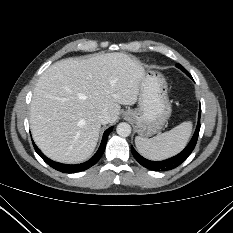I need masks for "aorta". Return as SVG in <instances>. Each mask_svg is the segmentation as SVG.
<instances>
[{
  "mask_svg": "<svg viewBox=\"0 0 233 233\" xmlns=\"http://www.w3.org/2000/svg\"><path fill=\"white\" fill-rule=\"evenodd\" d=\"M117 134L121 137H127L131 134V126L128 123H119L116 128Z\"/></svg>",
  "mask_w": 233,
  "mask_h": 233,
  "instance_id": "762f6f07",
  "label": "aorta"
}]
</instances>
